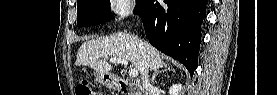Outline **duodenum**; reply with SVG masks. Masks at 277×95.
<instances>
[{"label":"duodenum","instance_id":"duodenum-1","mask_svg":"<svg viewBox=\"0 0 277 95\" xmlns=\"http://www.w3.org/2000/svg\"><path fill=\"white\" fill-rule=\"evenodd\" d=\"M115 86L122 94L143 95V89L140 83H134L125 79H118Z\"/></svg>","mask_w":277,"mask_h":95}]
</instances>
